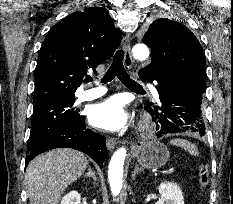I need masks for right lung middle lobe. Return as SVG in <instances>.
Returning <instances> with one entry per match:
<instances>
[{
    "instance_id": "1",
    "label": "right lung middle lobe",
    "mask_w": 233,
    "mask_h": 204,
    "mask_svg": "<svg viewBox=\"0 0 233 204\" xmlns=\"http://www.w3.org/2000/svg\"><path fill=\"white\" fill-rule=\"evenodd\" d=\"M75 97H57L34 103L28 149L83 117L74 109Z\"/></svg>"
}]
</instances>
